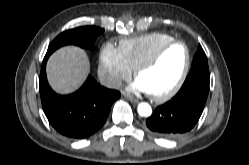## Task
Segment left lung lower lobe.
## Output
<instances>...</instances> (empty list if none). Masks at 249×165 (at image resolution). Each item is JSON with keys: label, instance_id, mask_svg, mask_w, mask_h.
Listing matches in <instances>:
<instances>
[{"label": "left lung lower lobe", "instance_id": "1", "mask_svg": "<svg viewBox=\"0 0 249 165\" xmlns=\"http://www.w3.org/2000/svg\"><path fill=\"white\" fill-rule=\"evenodd\" d=\"M209 79L205 74L187 76L179 92L146 120L147 127L164 138H176L190 131L203 112Z\"/></svg>", "mask_w": 249, "mask_h": 165}]
</instances>
